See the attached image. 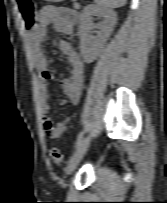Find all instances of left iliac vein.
I'll use <instances>...</instances> for the list:
<instances>
[{
  "instance_id": "left-iliac-vein-1",
  "label": "left iliac vein",
  "mask_w": 167,
  "mask_h": 203,
  "mask_svg": "<svg viewBox=\"0 0 167 203\" xmlns=\"http://www.w3.org/2000/svg\"><path fill=\"white\" fill-rule=\"evenodd\" d=\"M89 144V136L85 137L80 145L77 147L73 155L71 156L68 166H67V173L70 174L75 167L78 165V163L81 161L83 155L85 154L87 147Z\"/></svg>"
}]
</instances>
